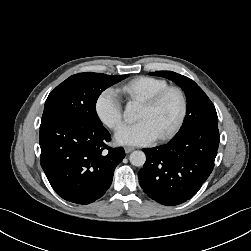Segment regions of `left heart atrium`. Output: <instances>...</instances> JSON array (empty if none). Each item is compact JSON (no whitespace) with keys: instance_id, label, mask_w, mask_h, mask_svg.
Instances as JSON below:
<instances>
[{"instance_id":"1","label":"left heart atrium","mask_w":251,"mask_h":251,"mask_svg":"<svg viewBox=\"0 0 251 251\" xmlns=\"http://www.w3.org/2000/svg\"><path fill=\"white\" fill-rule=\"evenodd\" d=\"M157 134L148 120L123 126L116 134L115 139L124 145H146L157 139Z\"/></svg>"}]
</instances>
